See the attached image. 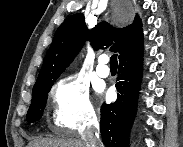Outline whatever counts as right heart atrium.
<instances>
[{
    "mask_svg": "<svg viewBox=\"0 0 183 147\" xmlns=\"http://www.w3.org/2000/svg\"><path fill=\"white\" fill-rule=\"evenodd\" d=\"M54 124L62 129L82 131L95 123L96 110L88 85L77 75L60 79L51 89Z\"/></svg>",
    "mask_w": 183,
    "mask_h": 147,
    "instance_id": "d8ad5b80",
    "label": "right heart atrium"
}]
</instances>
